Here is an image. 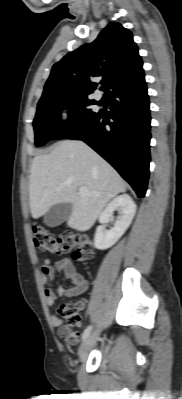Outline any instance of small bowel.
<instances>
[{
  "instance_id": "1",
  "label": "small bowel",
  "mask_w": 182,
  "mask_h": 399,
  "mask_svg": "<svg viewBox=\"0 0 182 399\" xmlns=\"http://www.w3.org/2000/svg\"><path fill=\"white\" fill-rule=\"evenodd\" d=\"M61 272L65 278L72 283V287L65 288L58 286L56 290H52L49 285L54 280L56 273ZM41 278L43 284L46 286L45 298L48 306L55 305L58 298L71 297L83 294L88 289V281L79 273L73 262L69 258H62L53 262L50 258H45L41 268ZM80 308L83 303L79 302ZM52 324L59 328V336L69 345H75L80 337V332L74 331V338H70V330L63 326V320L56 316H52Z\"/></svg>"
}]
</instances>
